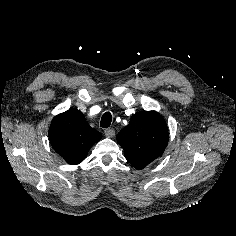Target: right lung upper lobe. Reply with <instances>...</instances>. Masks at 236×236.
Listing matches in <instances>:
<instances>
[{"instance_id": "right-lung-upper-lobe-1", "label": "right lung upper lobe", "mask_w": 236, "mask_h": 236, "mask_svg": "<svg viewBox=\"0 0 236 236\" xmlns=\"http://www.w3.org/2000/svg\"><path fill=\"white\" fill-rule=\"evenodd\" d=\"M77 109L58 114L49 128V140L54 150L69 164L82 162L90 147L101 139Z\"/></svg>"}]
</instances>
